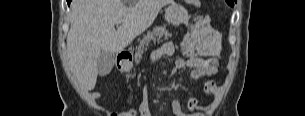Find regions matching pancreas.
I'll list each match as a JSON object with an SVG mask.
<instances>
[{"label": "pancreas", "mask_w": 305, "mask_h": 116, "mask_svg": "<svg viewBox=\"0 0 305 116\" xmlns=\"http://www.w3.org/2000/svg\"><path fill=\"white\" fill-rule=\"evenodd\" d=\"M171 37V33L166 29V26L155 27L151 32H148L142 40H140L138 47L136 48L135 61L139 63L142 59L144 50L147 49L151 42L161 41L162 39L167 40Z\"/></svg>", "instance_id": "cf45deb5"}]
</instances>
